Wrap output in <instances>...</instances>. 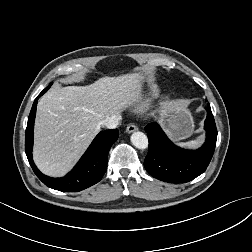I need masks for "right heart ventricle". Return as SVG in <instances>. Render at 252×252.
Masks as SVG:
<instances>
[{"instance_id": "obj_1", "label": "right heart ventricle", "mask_w": 252, "mask_h": 252, "mask_svg": "<svg viewBox=\"0 0 252 252\" xmlns=\"http://www.w3.org/2000/svg\"><path fill=\"white\" fill-rule=\"evenodd\" d=\"M160 89L156 85H150L139 97L136 108L143 109L147 107L159 95Z\"/></svg>"}]
</instances>
